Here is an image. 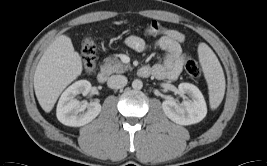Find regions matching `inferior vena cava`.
I'll list each match as a JSON object with an SVG mask.
<instances>
[{
  "instance_id": "inferior-vena-cava-1",
  "label": "inferior vena cava",
  "mask_w": 267,
  "mask_h": 166,
  "mask_svg": "<svg viewBox=\"0 0 267 166\" xmlns=\"http://www.w3.org/2000/svg\"><path fill=\"white\" fill-rule=\"evenodd\" d=\"M127 78L123 75H113L108 79V86L112 89H120L126 86Z\"/></svg>"
}]
</instances>
